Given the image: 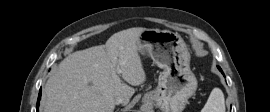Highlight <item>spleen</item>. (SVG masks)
<instances>
[{
    "instance_id": "obj_1",
    "label": "spleen",
    "mask_w": 270,
    "mask_h": 112,
    "mask_svg": "<svg viewBox=\"0 0 270 112\" xmlns=\"http://www.w3.org/2000/svg\"><path fill=\"white\" fill-rule=\"evenodd\" d=\"M201 112H225V99L219 88H214Z\"/></svg>"
}]
</instances>
